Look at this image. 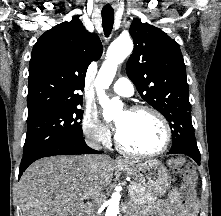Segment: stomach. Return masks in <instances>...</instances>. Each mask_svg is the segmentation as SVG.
Listing matches in <instances>:
<instances>
[{"label":"stomach","mask_w":221,"mask_h":216,"mask_svg":"<svg viewBox=\"0 0 221 216\" xmlns=\"http://www.w3.org/2000/svg\"><path fill=\"white\" fill-rule=\"evenodd\" d=\"M120 171L133 179L146 190L156 196L164 195L171 185V177L166 168L158 160H149L143 163H128Z\"/></svg>","instance_id":"stomach-1"}]
</instances>
